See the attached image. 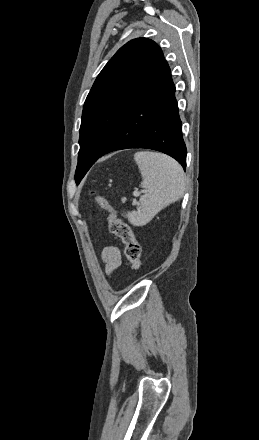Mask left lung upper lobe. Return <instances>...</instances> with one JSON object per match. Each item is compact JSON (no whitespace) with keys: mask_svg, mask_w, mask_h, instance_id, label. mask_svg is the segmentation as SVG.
I'll return each mask as SVG.
<instances>
[{"mask_svg":"<svg viewBox=\"0 0 259 440\" xmlns=\"http://www.w3.org/2000/svg\"><path fill=\"white\" fill-rule=\"evenodd\" d=\"M162 56L154 41L133 39L116 52L97 76L83 106L77 184L149 83Z\"/></svg>","mask_w":259,"mask_h":440,"instance_id":"obj_1","label":"left lung upper lobe"}]
</instances>
